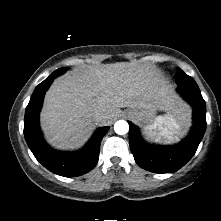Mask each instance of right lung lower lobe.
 Masks as SVG:
<instances>
[{
    "label": "right lung lower lobe",
    "mask_w": 221,
    "mask_h": 221,
    "mask_svg": "<svg viewBox=\"0 0 221 221\" xmlns=\"http://www.w3.org/2000/svg\"><path fill=\"white\" fill-rule=\"evenodd\" d=\"M53 79L47 78L35 88L25 111L24 136L35 158L49 171L63 177L80 176L97 164L100 143L109 127L98 128L85 147L77 152L56 151L48 146L40 132L39 112Z\"/></svg>",
    "instance_id": "obj_1"
}]
</instances>
